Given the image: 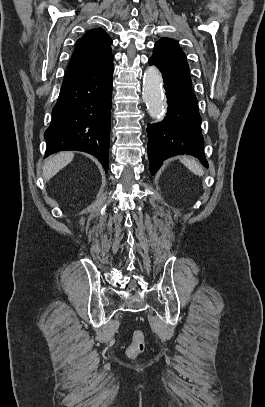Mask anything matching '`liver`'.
Listing matches in <instances>:
<instances>
[{"instance_id":"1","label":"liver","mask_w":265,"mask_h":407,"mask_svg":"<svg viewBox=\"0 0 265 407\" xmlns=\"http://www.w3.org/2000/svg\"><path fill=\"white\" fill-rule=\"evenodd\" d=\"M74 157L72 152H60L49 158L43 167V177L45 181L50 180L61 169L68 165Z\"/></svg>"}]
</instances>
